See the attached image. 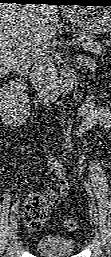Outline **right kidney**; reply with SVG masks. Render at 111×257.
<instances>
[{"label":"right kidney","instance_id":"right-kidney-1","mask_svg":"<svg viewBox=\"0 0 111 257\" xmlns=\"http://www.w3.org/2000/svg\"><path fill=\"white\" fill-rule=\"evenodd\" d=\"M25 88L26 86L22 78L10 80L7 84L2 86L0 90V104L3 121L6 119L9 120V117L13 116V113L17 111L29 108V100L24 92Z\"/></svg>","mask_w":111,"mask_h":257}]
</instances>
